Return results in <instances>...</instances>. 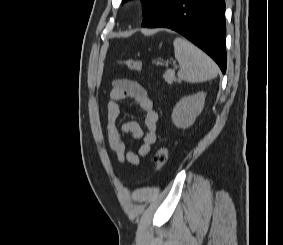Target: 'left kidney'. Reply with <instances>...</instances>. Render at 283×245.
<instances>
[{
  "mask_svg": "<svg viewBox=\"0 0 283 245\" xmlns=\"http://www.w3.org/2000/svg\"><path fill=\"white\" fill-rule=\"evenodd\" d=\"M204 92L182 98L174 107L172 121L178 128L190 127L202 112L205 103Z\"/></svg>",
  "mask_w": 283,
  "mask_h": 245,
  "instance_id": "1",
  "label": "left kidney"
}]
</instances>
